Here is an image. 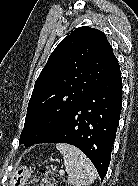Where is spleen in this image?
I'll list each match as a JSON object with an SVG mask.
<instances>
[{
  "instance_id": "spleen-1",
  "label": "spleen",
  "mask_w": 138,
  "mask_h": 186,
  "mask_svg": "<svg viewBox=\"0 0 138 186\" xmlns=\"http://www.w3.org/2000/svg\"><path fill=\"white\" fill-rule=\"evenodd\" d=\"M63 155L68 182L74 186H86L94 182L97 171L88 157L78 148L69 144H57Z\"/></svg>"
}]
</instances>
